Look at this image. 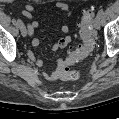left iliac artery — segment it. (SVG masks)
Instances as JSON below:
<instances>
[{
  "instance_id": "1",
  "label": "left iliac artery",
  "mask_w": 119,
  "mask_h": 119,
  "mask_svg": "<svg viewBox=\"0 0 119 119\" xmlns=\"http://www.w3.org/2000/svg\"><path fill=\"white\" fill-rule=\"evenodd\" d=\"M104 14V10L103 9H100L97 13L98 16L102 17Z\"/></svg>"
}]
</instances>
